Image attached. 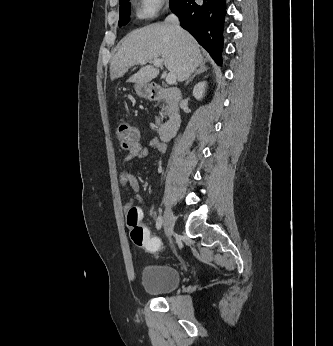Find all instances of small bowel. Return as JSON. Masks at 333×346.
Returning a JSON list of instances; mask_svg holds the SVG:
<instances>
[{
  "instance_id": "obj_1",
  "label": "small bowel",
  "mask_w": 333,
  "mask_h": 346,
  "mask_svg": "<svg viewBox=\"0 0 333 346\" xmlns=\"http://www.w3.org/2000/svg\"><path fill=\"white\" fill-rule=\"evenodd\" d=\"M151 147L156 148L160 153H165L166 147L157 138H151L148 142ZM149 154L148 148L142 143H137L136 146L129 151V153L124 158V163H130L135 160H142L146 158ZM120 181L123 185L127 186L132 192L137 193L140 190V183L138 179L129 171L123 170L120 175ZM137 199L141 200L139 196ZM130 208V203L126 204V209Z\"/></svg>"
}]
</instances>
